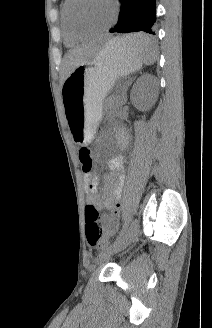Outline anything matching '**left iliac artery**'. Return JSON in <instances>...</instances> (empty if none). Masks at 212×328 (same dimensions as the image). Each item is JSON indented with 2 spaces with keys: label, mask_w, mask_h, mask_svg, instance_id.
Instances as JSON below:
<instances>
[{
  "label": "left iliac artery",
  "mask_w": 212,
  "mask_h": 328,
  "mask_svg": "<svg viewBox=\"0 0 212 328\" xmlns=\"http://www.w3.org/2000/svg\"><path fill=\"white\" fill-rule=\"evenodd\" d=\"M129 222H130V217H128L122 227V230L121 232L119 233V235L117 236V239L116 240H119L124 234L125 232L127 231L128 229V226H129Z\"/></svg>",
  "instance_id": "left-iliac-artery-1"
}]
</instances>
